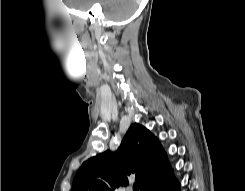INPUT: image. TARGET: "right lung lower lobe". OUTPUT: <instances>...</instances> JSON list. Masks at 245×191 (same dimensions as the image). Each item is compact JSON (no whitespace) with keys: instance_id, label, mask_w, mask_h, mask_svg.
Listing matches in <instances>:
<instances>
[{"instance_id":"right-lung-lower-lobe-1","label":"right lung lower lobe","mask_w":245,"mask_h":191,"mask_svg":"<svg viewBox=\"0 0 245 191\" xmlns=\"http://www.w3.org/2000/svg\"><path fill=\"white\" fill-rule=\"evenodd\" d=\"M145 191H180V184L170 168L155 183L148 186Z\"/></svg>"}]
</instances>
